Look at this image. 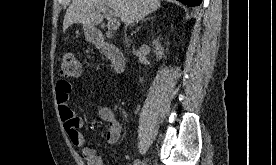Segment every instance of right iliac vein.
Returning <instances> with one entry per match:
<instances>
[{
    "label": "right iliac vein",
    "mask_w": 276,
    "mask_h": 165,
    "mask_svg": "<svg viewBox=\"0 0 276 165\" xmlns=\"http://www.w3.org/2000/svg\"><path fill=\"white\" fill-rule=\"evenodd\" d=\"M140 164H141V165H147V164H146V161H143L142 163H139V165H140Z\"/></svg>",
    "instance_id": "obj_1"
}]
</instances>
